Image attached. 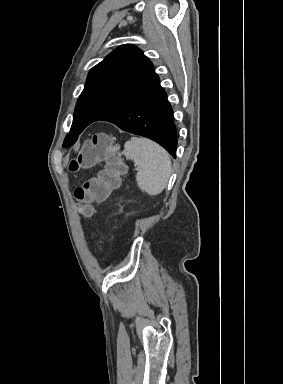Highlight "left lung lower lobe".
Returning <instances> with one entry per match:
<instances>
[{
	"label": "left lung lower lobe",
	"mask_w": 283,
	"mask_h": 384,
	"mask_svg": "<svg viewBox=\"0 0 283 384\" xmlns=\"http://www.w3.org/2000/svg\"><path fill=\"white\" fill-rule=\"evenodd\" d=\"M101 120L112 122L124 131L148 137L176 157L177 133L173 110L156 73L93 122Z\"/></svg>",
	"instance_id": "left-lung-lower-lobe-1"
}]
</instances>
